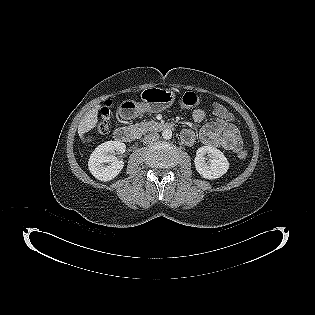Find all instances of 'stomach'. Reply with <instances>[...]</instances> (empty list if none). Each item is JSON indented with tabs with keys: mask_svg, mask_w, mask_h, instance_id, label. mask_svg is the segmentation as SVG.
Segmentation results:
<instances>
[{
	"mask_svg": "<svg viewBox=\"0 0 315 315\" xmlns=\"http://www.w3.org/2000/svg\"><path fill=\"white\" fill-rule=\"evenodd\" d=\"M175 100V93L168 89L152 88L142 93V102L124 101L118 109L124 120L137 118L142 111L160 112L170 107Z\"/></svg>",
	"mask_w": 315,
	"mask_h": 315,
	"instance_id": "obj_1",
	"label": "stomach"
}]
</instances>
